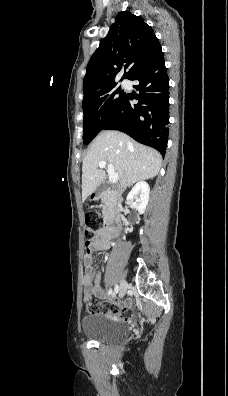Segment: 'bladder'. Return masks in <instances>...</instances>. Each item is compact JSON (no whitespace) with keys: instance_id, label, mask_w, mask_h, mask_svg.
I'll return each mask as SVG.
<instances>
[{"instance_id":"1","label":"bladder","mask_w":228,"mask_h":396,"mask_svg":"<svg viewBox=\"0 0 228 396\" xmlns=\"http://www.w3.org/2000/svg\"><path fill=\"white\" fill-rule=\"evenodd\" d=\"M84 335L98 342L117 343L130 335L127 323L103 314H91L82 320Z\"/></svg>"}]
</instances>
